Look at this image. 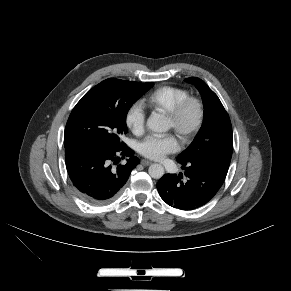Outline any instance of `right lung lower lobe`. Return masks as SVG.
Here are the masks:
<instances>
[{"label": "right lung lower lobe", "instance_id": "right-lung-lower-lobe-1", "mask_svg": "<svg viewBox=\"0 0 291 291\" xmlns=\"http://www.w3.org/2000/svg\"><path fill=\"white\" fill-rule=\"evenodd\" d=\"M133 154L125 144L117 147L79 142L66 146V168L78 195L92 205L115 199L140 162ZM119 155L129 157L127 163L113 166L118 164Z\"/></svg>", "mask_w": 291, "mask_h": 291}]
</instances>
